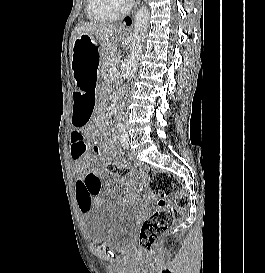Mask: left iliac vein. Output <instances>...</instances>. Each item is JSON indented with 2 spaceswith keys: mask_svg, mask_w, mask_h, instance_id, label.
Returning <instances> with one entry per match:
<instances>
[{
  "mask_svg": "<svg viewBox=\"0 0 265 273\" xmlns=\"http://www.w3.org/2000/svg\"><path fill=\"white\" fill-rule=\"evenodd\" d=\"M120 141H121V145L124 147V148H129L130 147V140H129V136L127 133H123L121 135V138H120Z\"/></svg>",
  "mask_w": 265,
  "mask_h": 273,
  "instance_id": "4c4485c4",
  "label": "left iliac vein"
}]
</instances>
